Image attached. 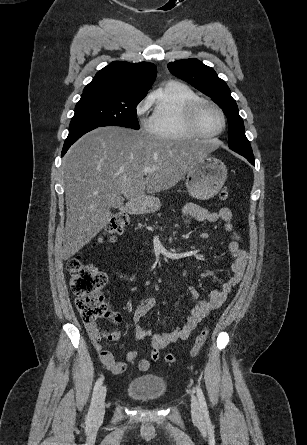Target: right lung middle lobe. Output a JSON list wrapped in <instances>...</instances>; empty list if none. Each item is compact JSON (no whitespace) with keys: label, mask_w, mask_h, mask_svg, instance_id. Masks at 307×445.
<instances>
[{"label":"right lung middle lobe","mask_w":307,"mask_h":445,"mask_svg":"<svg viewBox=\"0 0 307 445\" xmlns=\"http://www.w3.org/2000/svg\"><path fill=\"white\" fill-rule=\"evenodd\" d=\"M144 97L117 95L81 96L70 122L69 134L102 126L139 129L136 106Z\"/></svg>","instance_id":"1"}]
</instances>
